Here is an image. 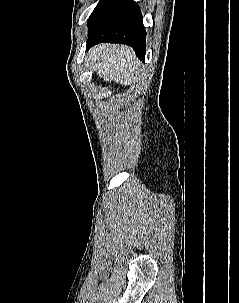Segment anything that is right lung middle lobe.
<instances>
[{
	"mask_svg": "<svg viewBox=\"0 0 239 303\" xmlns=\"http://www.w3.org/2000/svg\"><path fill=\"white\" fill-rule=\"evenodd\" d=\"M110 0H100L99 3L97 4L96 8L94 9V11L92 12L89 21H88V26L93 22V20L95 19V17L97 16V14L107 5V3Z\"/></svg>",
	"mask_w": 239,
	"mask_h": 303,
	"instance_id": "dd1d6c3e",
	"label": "right lung middle lobe"
}]
</instances>
